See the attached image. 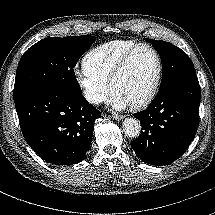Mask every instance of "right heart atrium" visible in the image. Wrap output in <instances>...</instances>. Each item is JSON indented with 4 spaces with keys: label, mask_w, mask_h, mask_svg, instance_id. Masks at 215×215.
I'll use <instances>...</instances> for the list:
<instances>
[{
    "label": "right heart atrium",
    "mask_w": 215,
    "mask_h": 215,
    "mask_svg": "<svg viewBox=\"0 0 215 215\" xmlns=\"http://www.w3.org/2000/svg\"><path fill=\"white\" fill-rule=\"evenodd\" d=\"M74 80L83 98L90 105L98 106L107 99L108 83L87 74L83 69L75 71Z\"/></svg>",
    "instance_id": "obj_1"
}]
</instances>
